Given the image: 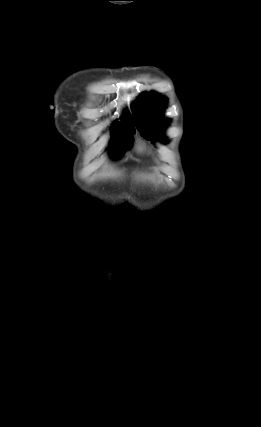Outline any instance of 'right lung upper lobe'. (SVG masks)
<instances>
[{"mask_svg": "<svg viewBox=\"0 0 261 427\" xmlns=\"http://www.w3.org/2000/svg\"><path fill=\"white\" fill-rule=\"evenodd\" d=\"M123 121H124L125 123L132 124V123H131V120H130V115H129V113H128V112H126V114L124 115V117H123Z\"/></svg>", "mask_w": 261, "mask_h": 427, "instance_id": "cb5924a9", "label": "right lung upper lobe"}]
</instances>
